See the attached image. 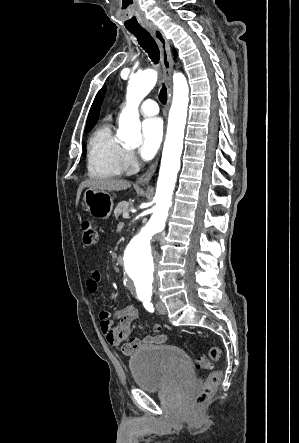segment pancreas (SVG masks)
Returning a JSON list of instances; mask_svg holds the SVG:
<instances>
[{"instance_id":"1","label":"pancreas","mask_w":299,"mask_h":443,"mask_svg":"<svg viewBox=\"0 0 299 443\" xmlns=\"http://www.w3.org/2000/svg\"><path fill=\"white\" fill-rule=\"evenodd\" d=\"M128 211H129V202L122 201L116 206L114 214L118 218L121 214Z\"/></svg>"}]
</instances>
